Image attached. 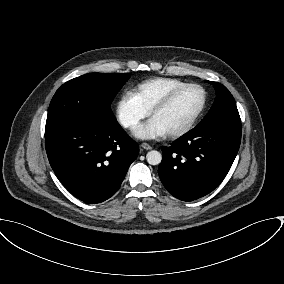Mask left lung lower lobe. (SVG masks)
Wrapping results in <instances>:
<instances>
[{
  "label": "left lung lower lobe",
  "mask_w": 284,
  "mask_h": 284,
  "mask_svg": "<svg viewBox=\"0 0 284 284\" xmlns=\"http://www.w3.org/2000/svg\"><path fill=\"white\" fill-rule=\"evenodd\" d=\"M241 142L240 120H219L162 147L158 174L174 197L193 201L213 191L229 172Z\"/></svg>",
  "instance_id": "0a47b994"
}]
</instances>
